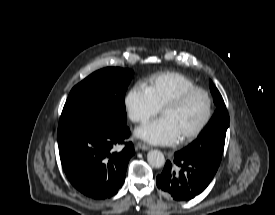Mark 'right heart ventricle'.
Segmentation results:
<instances>
[{
	"instance_id": "e07e8e85",
	"label": "right heart ventricle",
	"mask_w": 275,
	"mask_h": 215,
	"mask_svg": "<svg viewBox=\"0 0 275 215\" xmlns=\"http://www.w3.org/2000/svg\"><path fill=\"white\" fill-rule=\"evenodd\" d=\"M195 86L192 79L174 71L154 74L145 83V88L159 108L181 91Z\"/></svg>"
}]
</instances>
